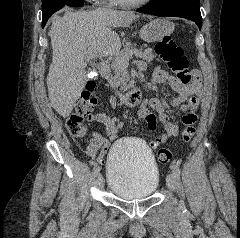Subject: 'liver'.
I'll return each instance as SVG.
<instances>
[{"label":"liver","mask_w":240,"mask_h":238,"mask_svg":"<svg viewBox=\"0 0 240 238\" xmlns=\"http://www.w3.org/2000/svg\"><path fill=\"white\" fill-rule=\"evenodd\" d=\"M138 17L134 12L112 9L66 10L63 16L51 17L48 34L53 56L47 87L50 103L59 115L68 117L83 91L89 50L118 53L121 41L113 29L128 27Z\"/></svg>","instance_id":"obj_1"}]
</instances>
